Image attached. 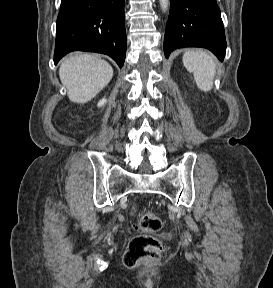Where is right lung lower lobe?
Instances as JSON below:
<instances>
[{"label":"right lung lower lobe","instance_id":"obj_1","mask_svg":"<svg viewBox=\"0 0 273 288\" xmlns=\"http://www.w3.org/2000/svg\"><path fill=\"white\" fill-rule=\"evenodd\" d=\"M124 0H62L54 63L72 51L109 55L122 67L126 55Z\"/></svg>","mask_w":273,"mask_h":288}]
</instances>
